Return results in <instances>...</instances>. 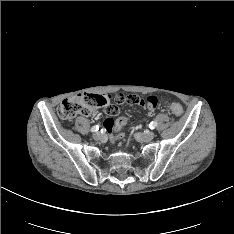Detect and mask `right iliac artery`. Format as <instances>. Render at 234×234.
Returning <instances> with one entry per match:
<instances>
[{
  "mask_svg": "<svg viewBox=\"0 0 234 234\" xmlns=\"http://www.w3.org/2000/svg\"><path fill=\"white\" fill-rule=\"evenodd\" d=\"M98 129H99V126H98V125H95V126H93V127L91 128V131H92V132H96V131H98Z\"/></svg>",
  "mask_w": 234,
  "mask_h": 234,
  "instance_id": "82829eb1",
  "label": "right iliac artery"
}]
</instances>
